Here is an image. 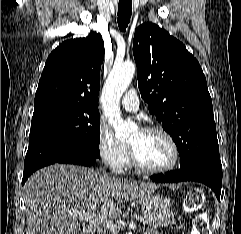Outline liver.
I'll list each match as a JSON object with an SVG mask.
<instances>
[{"label":"liver","instance_id":"6515ba94","mask_svg":"<svg viewBox=\"0 0 241 234\" xmlns=\"http://www.w3.org/2000/svg\"><path fill=\"white\" fill-rule=\"evenodd\" d=\"M157 185L121 179L76 165L55 164L32 174L25 183L26 234H80V216H120L119 207L150 195Z\"/></svg>","mask_w":241,"mask_h":234}]
</instances>
